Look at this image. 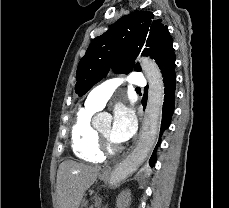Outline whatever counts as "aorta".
<instances>
[{"label": "aorta", "mask_w": 229, "mask_h": 208, "mask_svg": "<svg viewBox=\"0 0 229 208\" xmlns=\"http://www.w3.org/2000/svg\"><path fill=\"white\" fill-rule=\"evenodd\" d=\"M141 67L148 81V99L139 141L128 157L112 172L109 184L116 185L129 177L146 160L151 152L160 127L164 102V83L158 65L149 58L141 59ZM108 113H99L95 122L110 121Z\"/></svg>", "instance_id": "obj_1"}]
</instances>
